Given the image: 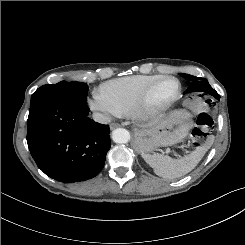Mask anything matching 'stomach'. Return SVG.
<instances>
[{
  "label": "stomach",
  "mask_w": 245,
  "mask_h": 245,
  "mask_svg": "<svg viewBox=\"0 0 245 245\" xmlns=\"http://www.w3.org/2000/svg\"><path fill=\"white\" fill-rule=\"evenodd\" d=\"M193 126L190 113L176 110L149 127L135 131L134 146L138 153H150L159 147L179 143Z\"/></svg>",
  "instance_id": "obj_1"
}]
</instances>
